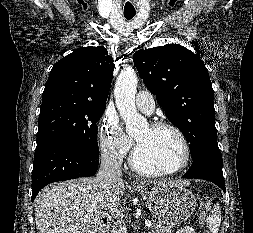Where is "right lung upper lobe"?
Masks as SVG:
<instances>
[{
  "label": "right lung upper lobe",
  "mask_w": 253,
  "mask_h": 233,
  "mask_svg": "<svg viewBox=\"0 0 253 233\" xmlns=\"http://www.w3.org/2000/svg\"><path fill=\"white\" fill-rule=\"evenodd\" d=\"M115 64L103 46L78 49L52 68L42 103L50 101L106 104Z\"/></svg>",
  "instance_id": "cb5924a9"
}]
</instances>
